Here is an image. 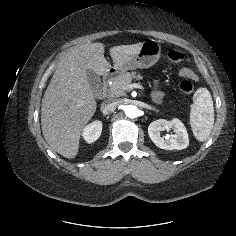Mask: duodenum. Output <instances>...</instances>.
Masks as SVG:
<instances>
[{"mask_svg":"<svg viewBox=\"0 0 236 236\" xmlns=\"http://www.w3.org/2000/svg\"><path fill=\"white\" fill-rule=\"evenodd\" d=\"M115 75V70L113 69H109L107 70L103 76H102V87H101V91H100V97L103 98L105 96V92L107 89V86L109 84V81L111 80V78Z\"/></svg>","mask_w":236,"mask_h":236,"instance_id":"1","label":"duodenum"}]
</instances>
